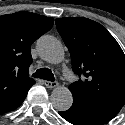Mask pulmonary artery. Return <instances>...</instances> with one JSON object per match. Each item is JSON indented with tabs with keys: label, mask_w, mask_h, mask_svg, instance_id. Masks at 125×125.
Instances as JSON below:
<instances>
[{
	"label": "pulmonary artery",
	"mask_w": 125,
	"mask_h": 125,
	"mask_svg": "<svg viewBox=\"0 0 125 125\" xmlns=\"http://www.w3.org/2000/svg\"><path fill=\"white\" fill-rule=\"evenodd\" d=\"M68 80H69L70 82H73V81L75 80V78H74L73 76H69V77H68Z\"/></svg>",
	"instance_id": "pulmonary-artery-1"
}]
</instances>
